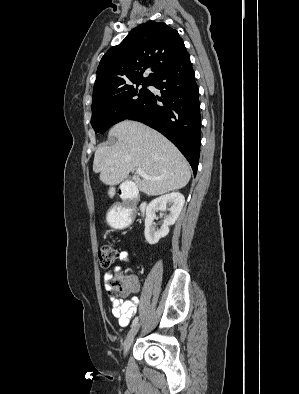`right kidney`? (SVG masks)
<instances>
[{
    "label": "right kidney",
    "mask_w": 299,
    "mask_h": 394,
    "mask_svg": "<svg viewBox=\"0 0 299 394\" xmlns=\"http://www.w3.org/2000/svg\"><path fill=\"white\" fill-rule=\"evenodd\" d=\"M185 203L184 196L179 192H172L152 200L146 208L145 219V239L150 245L158 241L169 233V226L173 225L179 217V214ZM167 204L171 205L169 215L164 219L161 228L158 230L154 227L156 212L165 211Z\"/></svg>",
    "instance_id": "right-kidney-1"
}]
</instances>
